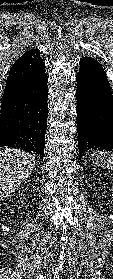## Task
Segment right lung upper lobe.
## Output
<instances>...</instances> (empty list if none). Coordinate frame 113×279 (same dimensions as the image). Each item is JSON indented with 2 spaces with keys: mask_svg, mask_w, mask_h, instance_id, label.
<instances>
[{
  "mask_svg": "<svg viewBox=\"0 0 113 279\" xmlns=\"http://www.w3.org/2000/svg\"><path fill=\"white\" fill-rule=\"evenodd\" d=\"M43 65L44 63L38 49L28 50L17 59L10 69L1 107L4 106L8 98L20 89L26 81L33 77Z\"/></svg>",
  "mask_w": 113,
  "mask_h": 279,
  "instance_id": "obj_1",
  "label": "right lung upper lobe"
}]
</instances>
